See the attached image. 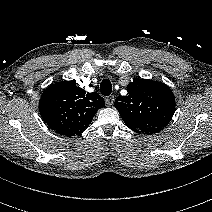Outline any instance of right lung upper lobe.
Instances as JSON below:
<instances>
[{
  "label": "right lung upper lobe",
  "instance_id": "obj_1",
  "mask_svg": "<svg viewBox=\"0 0 212 212\" xmlns=\"http://www.w3.org/2000/svg\"><path fill=\"white\" fill-rule=\"evenodd\" d=\"M104 99L96 92L88 93L76 86V81H64L49 86L39 101V112L50 129L60 135H81L91 123Z\"/></svg>",
  "mask_w": 212,
  "mask_h": 212
}]
</instances>
